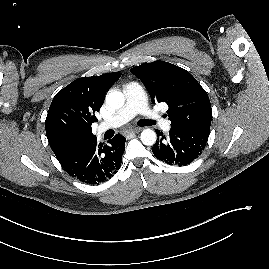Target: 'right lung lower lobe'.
Returning a JSON list of instances; mask_svg holds the SVG:
<instances>
[{"label": "right lung lower lobe", "instance_id": "obj_1", "mask_svg": "<svg viewBox=\"0 0 269 269\" xmlns=\"http://www.w3.org/2000/svg\"><path fill=\"white\" fill-rule=\"evenodd\" d=\"M125 142V137L120 134L110 139L108 145L98 144L95 138L60 161V164L70 176L83 183H103L119 170Z\"/></svg>", "mask_w": 269, "mask_h": 269}]
</instances>
